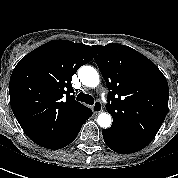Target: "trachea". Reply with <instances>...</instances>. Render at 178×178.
Returning <instances> with one entry per match:
<instances>
[{"label": "trachea", "mask_w": 178, "mask_h": 178, "mask_svg": "<svg viewBox=\"0 0 178 178\" xmlns=\"http://www.w3.org/2000/svg\"><path fill=\"white\" fill-rule=\"evenodd\" d=\"M77 101L85 102L86 104L93 105L94 99L89 94L79 93L76 98Z\"/></svg>", "instance_id": "1"}]
</instances>
